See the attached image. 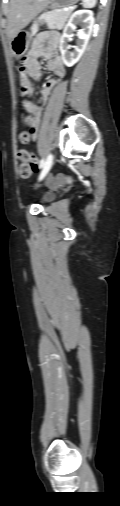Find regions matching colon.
Masks as SVG:
<instances>
[{
    "label": "colon",
    "mask_w": 120,
    "mask_h": 506,
    "mask_svg": "<svg viewBox=\"0 0 120 506\" xmlns=\"http://www.w3.org/2000/svg\"><path fill=\"white\" fill-rule=\"evenodd\" d=\"M26 72H27V64L25 59H23L19 64V73L20 75H24ZM25 120L26 122L30 123L32 122V117L26 116ZM19 139L23 144L29 143L32 139L31 131L28 130L22 131L20 133ZM18 158L20 160L19 175L22 178L30 177L31 174L37 170V158L25 149L19 151ZM71 182L72 178L70 176L59 174L49 181V185L57 186L61 183H71Z\"/></svg>",
    "instance_id": "1"
}]
</instances>
